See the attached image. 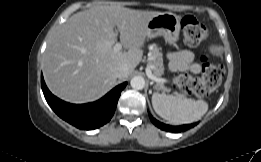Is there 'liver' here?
<instances>
[{
	"label": "liver",
	"mask_w": 261,
	"mask_h": 162,
	"mask_svg": "<svg viewBox=\"0 0 261 162\" xmlns=\"http://www.w3.org/2000/svg\"><path fill=\"white\" fill-rule=\"evenodd\" d=\"M161 13L100 5L73 14L48 41L42 60L48 88L72 103L99 99L114 86L115 67L127 65L130 75L141 62L146 24ZM114 27L127 52L114 51Z\"/></svg>",
	"instance_id": "obj_1"
}]
</instances>
